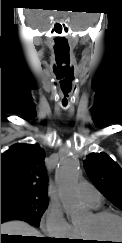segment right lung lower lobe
<instances>
[{"label": "right lung lower lobe", "mask_w": 122, "mask_h": 243, "mask_svg": "<svg viewBox=\"0 0 122 243\" xmlns=\"http://www.w3.org/2000/svg\"><path fill=\"white\" fill-rule=\"evenodd\" d=\"M9 220H22L26 221L29 224L33 226H39L40 223H37L33 218L30 216L20 213V212H11V211H1V223L9 221ZM42 243H53L54 241H51L47 238H43L42 240H38Z\"/></svg>", "instance_id": "obj_1"}]
</instances>
